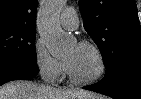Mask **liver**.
I'll use <instances>...</instances> for the list:
<instances>
[{"instance_id": "obj_1", "label": "liver", "mask_w": 141, "mask_h": 99, "mask_svg": "<svg viewBox=\"0 0 141 99\" xmlns=\"http://www.w3.org/2000/svg\"><path fill=\"white\" fill-rule=\"evenodd\" d=\"M0 99H101L85 90H59L51 86L17 80L0 87Z\"/></svg>"}]
</instances>
